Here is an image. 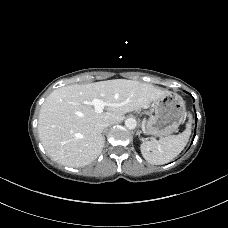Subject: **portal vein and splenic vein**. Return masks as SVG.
<instances>
[{
	"label": "portal vein and splenic vein",
	"instance_id": "portal-vein-and-splenic-vein-1",
	"mask_svg": "<svg viewBox=\"0 0 228 228\" xmlns=\"http://www.w3.org/2000/svg\"><path fill=\"white\" fill-rule=\"evenodd\" d=\"M88 104H91L94 106L96 113H102L104 107L107 105L106 102L98 98L93 99L91 102H88Z\"/></svg>",
	"mask_w": 228,
	"mask_h": 228
}]
</instances>
